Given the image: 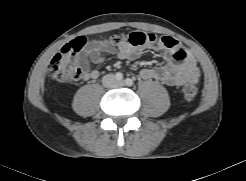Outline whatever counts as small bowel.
<instances>
[{
  "label": "small bowel",
  "mask_w": 246,
  "mask_h": 181,
  "mask_svg": "<svg viewBox=\"0 0 246 181\" xmlns=\"http://www.w3.org/2000/svg\"><path fill=\"white\" fill-rule=\"evenodd\" d=\"M157 48L162 52L165 63L157 67H148L140 71L143 79H152L165 85L178 87L187 81H197L200 70L192 53H190L177 39L164 36L157 43ZM116 55L120 59H134L140 53V48L131 45L128 41L120 42L116 47L106 46L101 40L89 41L81 52L83 61L100 64L104 60L103 53ZM100 72L91 69L86 72V78L95 80Z\"/></svg>",
  "instance_id": "small-bowel-1"
}]
</instances>
